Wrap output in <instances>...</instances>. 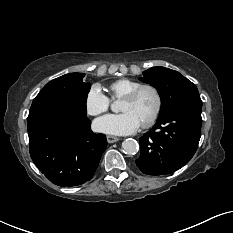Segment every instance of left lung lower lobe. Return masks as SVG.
Segmentation results:
<instances>
[{"instance_id":"left-lung-lower-lobe-1","label":"left lung lower lobe","mask_w":233,"mask_h":233,"mask_svg":"<svg viewBox=\"0 0 233 233\" xmlns=\"http://www.w3.org/2000/svg\"><path fill=\"white\" fill-rule=\"evenodd\" d=\"M202 106H184L161 115L140 138L136 165L145 174L172 173L190 161L201 136Z\"/></svg>"}]
</instances>
